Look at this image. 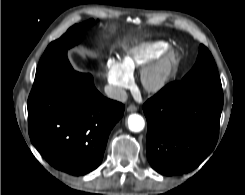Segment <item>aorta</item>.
I'll list each match as a JSON object with an SVG mask.
<instances>
[{"instance_id": "1", "label": "aorta", "mask_w": 245, "mask_h": 195, "mask_svg": "<svg viewBox=\"0 0 245 195\" xmlns=\"http://www.w3.org/2000/svg\"><path fill=\"white\" fill-rule=\"evenodd\" d=\"M145 126L143 117L139 114H131L128 117V127L132 132H140Z\"/></svg>"}]
</instances>
